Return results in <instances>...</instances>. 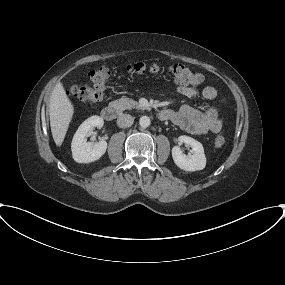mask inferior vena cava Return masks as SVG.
I'll return each mask as SVG.
<instances>
[{
	"label": "inferior vena cava",
	"instance_id": "602c4592",
	"mask_svg": "<svg viewBox=\"0 0 285 285\" xmlns=\"http://www.w3.org/2000/svg\"><path fill=\"white\" fill-rule=\"evenodd\" d=\"M133 122H134V118L129 114H121L117 118V125L120 128L130 127V126H132Z\"/></svg>",
	"mask_w": 285,
	"mask_h": 285
}]
</instances>
